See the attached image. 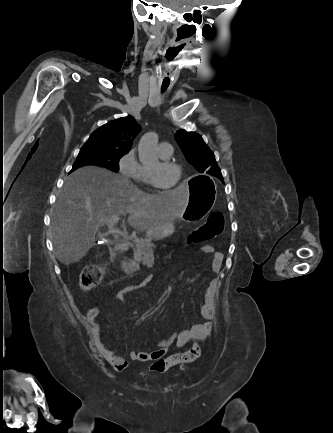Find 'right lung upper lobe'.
I'll return each mask as SVG.
<instances>
[{
	"instance_id": "cb5924a9",
	"label": "right lung upper lobe",
	"mask_w": 333,
	"mask_h": 433,
	"mask_svg": "<svg viewBox=\"0 0 333 433\" xmlns=\"http://www.w3.org/2000/svg\"><path fill=\"white\" fill-rule=\"evenodd\" d=\"M141 130L132 116L118 118L101 126L91 134L85 145H95L129 151L134 138Z\"/></svg>"
}]
</instances>
